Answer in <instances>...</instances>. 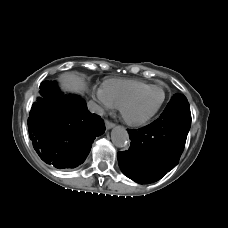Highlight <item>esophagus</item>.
Segmentation results:
<instances>
[{
  "mask_svg": "<svg viewBox=\"0 0 228 228\" xmlns=\"http://www.w3.org/2000/svg\"><path fill=\"white\" fill-rule=\"evenodd\" d=\"M105 126H106V129L109 130V129L113 128L115 126V124L111 121L106 120Z\"/></svg>",
  "mask_w": 228,
  "mask_h": 228,
  "instance_id": "esophagus-1",
  "label": "esophagus"
}]
</instances>
